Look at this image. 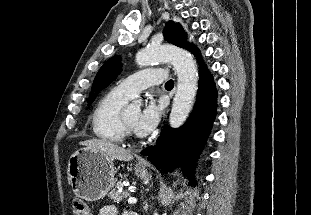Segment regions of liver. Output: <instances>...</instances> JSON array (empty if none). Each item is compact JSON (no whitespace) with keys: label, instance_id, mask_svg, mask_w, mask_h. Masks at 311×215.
I'll return each mask as SVG.
<instances>
[{"label":"liver","instance_id":"1","mask_svg":"<svg viewBox=\"0 0 311 215\" xmlns=\"http://www.w3.org/2000/svg\"><path fill=\"white\" fill-rule=\"evenodd\" d=\"M79 145L86 146L87 148L100 152L111 160L130 161L133 155L129 150H126L111 142L100 139H89L79 143Z\"/></svg>","mask_w":311,"mask_h":215}]
</instances>
